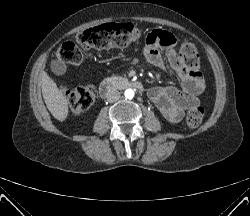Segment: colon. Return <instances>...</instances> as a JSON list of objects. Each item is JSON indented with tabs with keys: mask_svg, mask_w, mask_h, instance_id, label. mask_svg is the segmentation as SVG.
<instances>
[{
	"mask_svg": "<svg viewBox=\"0 0 250 216\" xmlns=\"http://www.w3.org/2000/svg\"><path fill=\"white\" fill-rule=\"evenodd\" d=\"M140 39V31L130 23H105L87 29L75 35L73 40L65 41L57 51L58 59L67 64L77 65L82 62L80 49H110L132 46ZM180 59L185 69L197 72L200 59L195 45L185 41L180 49ZM70 110L75 114L86 111L95 101L96 92L92 86H79L64 90ZM204 118V109L200 106L192 108L187 114V123L197 127Z\"/></svg>",
	"mask_w": 250,
	"mask_h": 216,
	"instance_id": "colon-1",
	"label": "colon"
}]
</instances>
